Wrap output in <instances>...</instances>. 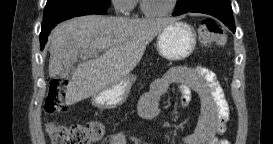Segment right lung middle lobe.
<instances>
[{
  "label": "right lung middle lobe",
  "mask_w": 273,
  "mask_h": 144,
  "mask_svg": "<svg viewBox=\"0 0 273 144\" xmlns=\"http://www.w3.org/2000/svg\"><path fill=\"white\" fill-rule=\"evenodd\" d=\"M80 3L98 4L105 7L110 6V0H47L43 18L46 17L49 14V12L52 11L57 6Z\"/></svg>",
  "instance_id": "obj_1"
}]
</instances>
